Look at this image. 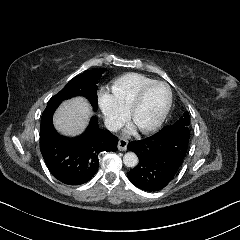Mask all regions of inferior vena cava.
I'll return each mask as SVG.
<instances>
[{
	"label": "inferior vena cava",
	"instance_id": "obj_1",
	"mask_svg": "<svg viewBox=\"0 0 240 240\" xmlns=\"http://www.w3.org/2000/svg\"><path fill=\"white\" fill-rule=\"evenodd\" d=\"M104 123L105 126L111 131H119L123 127L121 122L111 117L105 118Z\"/></svg>",
	"mask_w": 240,
	"mask_h": 240
}]
</instances>
